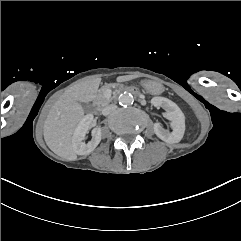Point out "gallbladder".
I'll return each mask as SVG.
<instances>
[{
    "instance_id": "bac80fb5",
    "label": "gallbladder",
    "mask_w": 241,
    "mask_h": 241,
    "mask_svg": "<svg viewBox=\"0 0 241 241\" xmlns=\"http://www.w3.org/2000/svg\"><path fill=\"white\" fill-rule=\"evenodd\" d=\"M81 105L83 106L84 109H87V110H90V109L92 108V107H91L89 104H87V103L81 102Z\"/></svg>"
}]
</instances>
